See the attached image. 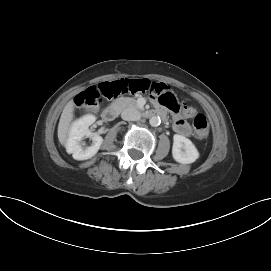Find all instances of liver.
I'll list each match as a JSON object with an SVG mask.
<instances>
[{
  "label": "liver",
  "mask_w": 271,
  "mask_h": 271,
  "mask_svg": "<svg viewBox=\"0 0 271 271\" xmlns=\"http://www.w3.org/2000/svg\"><path fill=\"white\" fill-rule=\"evenodd\" d=\"M74 102L70 101L64 107L58 125V139L62 145H66L71 122L74 118Z\"/></svg>",
  "instance_id": "6515ba94"
}]
</instances>
